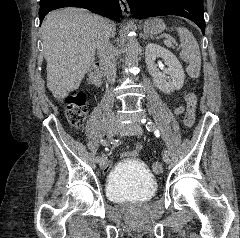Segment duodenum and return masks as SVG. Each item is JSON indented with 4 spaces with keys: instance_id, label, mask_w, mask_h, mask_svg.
<instances>
[{
    "instance_id": "duodenum-1",
    "label": "duodenum",
    "mask_w": 240,
    "mask_h": 238,
    "mask_svg": "<svg viewBox=\"0 0 240 238\" xmlns=\"http://www.w3.org/2000/svg\"><path fill=\"white\" fill-rule=\"evenodd\" d=\"M93 68H98V66H94Z\"/></svg>"
}]
</instances>
